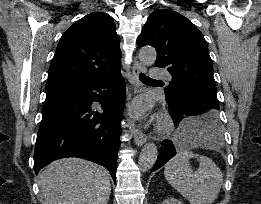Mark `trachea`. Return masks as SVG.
<instances>
[{
    "label": "trachea",
    "mask_w": 261,
    "mask_h": 204,
    "mask_svg": "<svg viewBox=\"0 0 261 204\" xmlns=\"http://www.w3.org/2000/svg\"><path fill=\"white\" fill-rule=\"evenodd\" d=\"M139 79L142 81V82H153V81H156L148 76H146L145 74L143 73H140L139 74Z\"/></svg>",
    "instance_id": "trachea-1"
}]
</instances>
